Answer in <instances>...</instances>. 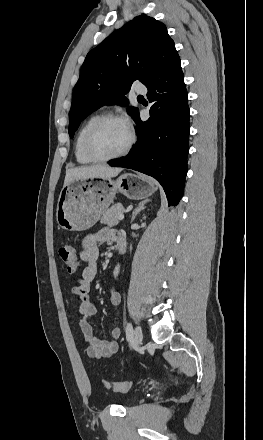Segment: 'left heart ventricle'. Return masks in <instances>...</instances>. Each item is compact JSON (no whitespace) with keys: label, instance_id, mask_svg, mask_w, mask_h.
<instances>
[{"label":"left heart ventricle","instance_id":"obj_1","mask_svg":"<svg viewBox=\"0 0 263 440\" xmlns=\"http://www.w3.org/2000/svg\"><path fill=\"white\" fill-rule=\"evenodd\" d=\"M127 138V130L122 123L109 121L98 129L94 147L102 155L114 154L123 148Z\"/></svg>","mask_w":263,"mask_h":440}]
</instances>
